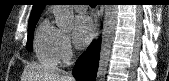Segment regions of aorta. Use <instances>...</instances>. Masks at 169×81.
Segmentation results:
<instances>
[{
	"label": "aorta",
	"instance_id": "obj_1",
	"mask_svg": "<svg viewBox=\"0 0 169 81\" xmlns=\"http://www.w3.org/2000/svg\"><path fill=\"white\" fill-rule=\"evenodd\" d=\"M55 22L62 31H71L74 13L70 5H54ZM103 30L97 80L104 81L110 59L117 20V5H104Z\"/></svg>",
	"mask_w": 169,
	"mask_h": 81
}]
</instances>
